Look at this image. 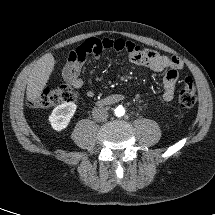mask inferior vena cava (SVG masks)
<instances>
[{"mask_svg":"<svg viewBox=\"0 0 215 215\" xmlns=\"http://www.w3.org/2000/svg\"><path fill=\"white\" fill-rule=\"evenodd\" d=\"M92 116L95 121L104 122L108 118V113L103 107H95L92 110Z\"/></svg>","mask_w":215,"mask_h":215,"instance_id":"inferior-vena-cava-1","label":"inferior vena cava"}]
</instances>
